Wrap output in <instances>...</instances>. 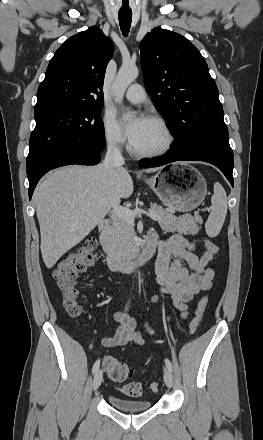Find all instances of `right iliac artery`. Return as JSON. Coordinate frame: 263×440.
Segmentation results:
<instances>
[{"mask_svg":"<svg viewBox=\"0 0 263 440\" xmlns=\"http://www.w3.org/2000/svg\"><path fill=\"white\" fill-rule=\"evenodd\" d=\"M127 309H128V305L126 306L125 310H127ZM99 366H100V360H97L94 363L93 368H92L93 373H95L99 369Z\"/></svg>","mask_w":263,"mask_h":440,"instance_id":"obj_1","label":"right iliac artery"}]
</instances>
